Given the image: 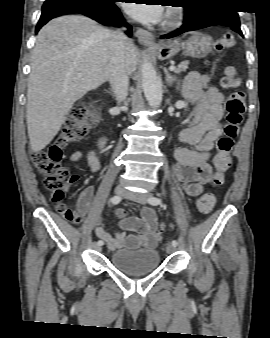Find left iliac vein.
Instances as JSON below:
<instances>
[{
	"instance_id": "obj_1",
	"label": "left iliac vein",
	"mask_w": 270,
	"mask_h": 338,
	"mask_svg": "<svg viewBox=\"0 0 270 338\" xmlns=\"http://www.w3.org/2000/svg\"><path fill=\"white\" fill-rule=\"evenodd\" d=\"M151 196L150 193H132V192H125L124 197L136 201L141 204H146L148 202V198ZM175 246L169 244L166 247L167 254H171L175 251Z\"/></svg>"
}]
</instances>
